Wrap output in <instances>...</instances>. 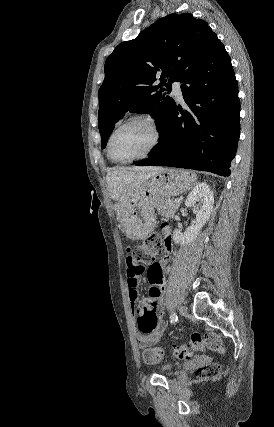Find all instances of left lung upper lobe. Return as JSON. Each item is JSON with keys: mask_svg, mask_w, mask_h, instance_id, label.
I'll return each mask as SVG.
<instances>
[{"mask_svg": "<svg viewBox=\"0 0 274 427\" xmlns=\"http://www.w3.org/2000/svg\"><path fill=\"white\" fill-rule=\"evenodd\" d=\"M215 36L206 21L190 13L169 14L137 38L120 43L106 59L105 79L98 91L102 149L127 111L150 113L161 134L174 103L167 96L171 82L181 80ZM156 75H161L159 84Z\"/></svg>", "mask_w": 274, "mask_h": 427, "instance_id": "5c2ea615", "label": "left lung upper lobe"}]
</instances>
